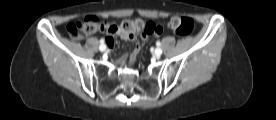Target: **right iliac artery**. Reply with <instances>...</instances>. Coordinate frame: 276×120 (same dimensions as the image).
<instances>
[{
	"instance_id": "1",
	"label": "right iliac artery",
	"mask_w": 276,
	"mask_h": 120,
	"mask_svg": "<svg viewBox=\"0 0 276 120\" xmlns=\"http://www.w3.org/2000/svg\"><path fill=\"white\" fill-rule=\"evenodd\" d=\"M100 43H101V45H103V44L105 43V40H104V39H101V40H100Z\"/></svg>"
}]
</instances>
